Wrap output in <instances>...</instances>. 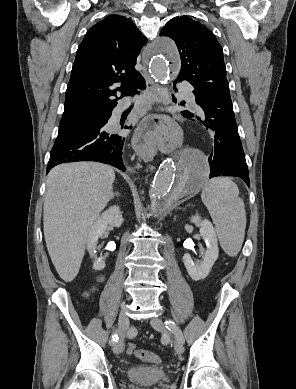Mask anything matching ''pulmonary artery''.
Listing matches in <instances>:
<instances>
[{
    "label": "pulmonary artery",
    "mask_w": 296,
    "mask_h": 389,
    "mask_svg": "<svg viewBox=\"0 0 296 389\" xmlns=\"http://www.w3.org/2000/svg\"><path fill=\"white\" fill-rule=\"evenodd\" d=\"M183 91V94L185 96V98H187V100L191 103V104H194L195 101H194V97L190 91V89H188L187 87H183L182 89Z\"/></svg>",
    "instance_id": "pulmonary-artery-1"
}]
</instances>
